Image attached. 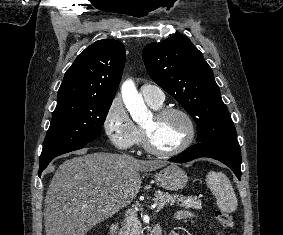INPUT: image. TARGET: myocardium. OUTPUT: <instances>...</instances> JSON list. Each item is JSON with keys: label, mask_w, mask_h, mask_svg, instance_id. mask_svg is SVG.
<instances>
[{"label": "myocardium", "mask_w": 283, "mask_h": 235, "mask_svg": "<svg viewBox=\"0 0 283 235\" xmlns=\"http://www.w3.org/2000/svg\"><path fill=\"white\" fill-rule=\"evenodd\" d=\"M168 114H178L185 120L187 125L186 137L180 145H178L172 150H167V151L158 150L152 146L149 139L148 131L144 127H142L141 129L142 146L151 155L158 157H173L179 155L185 150H187L195 140L196 125L191 115L185 109L180 107H160L159 109H156L153 116L156 119H161Z\"/></svg>", "instance_id": "myocardium-1"}]
</instances>
